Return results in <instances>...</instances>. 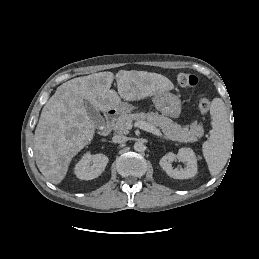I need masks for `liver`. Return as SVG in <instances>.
<instances>
[{
  "label": "liver",
  "mask_w": 259,
  "mask_h": 259,
  "mask_svg": "<svg viewBox=\"0 0 259 259\" xmlns=\"http://www.w3.org/2000/svg\"><path fill=\"white\" fill-rule=\"evenodd\" d=\"M113 79L112 72L74 78L60 85L44 105L34 134V155L40 172L51 183H61L73 157L94 137L95 124L85 101L103 112L116 108L121 98L141 100L174 89L167 77L147 71L120 70L118 93L110 89Z\"/></svg>",
  "instance_id": "liver-1"
}]
</instances>
